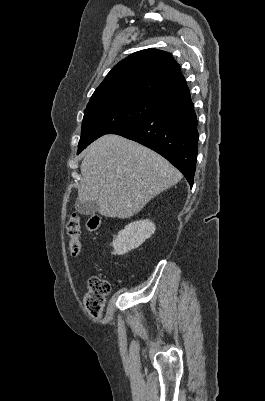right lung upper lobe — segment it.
<instances>
[{
	"instance_id": "right-lung-upper-lobe-1",
	"label": "right lung upper lobe",
	"mask_w": 265,
	"mask_h": 401,
	"mask_svg": "<svg viewBox=\"0 0 265 401\" xmlns=\"http://www.w3.org/2000/svg\"><path fill=\"white\" fill-rule=\"evenodd\" d=\"M189 94V88L173 56L145 49L120 61L93 93L87 106L141 99L164 104Z\"/></svg>"
}]
</instances>
